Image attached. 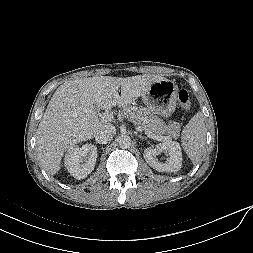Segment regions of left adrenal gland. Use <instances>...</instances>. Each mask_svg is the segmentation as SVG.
Returning <instances> with one entry per match:
<instances>
[{"label": "left adrenal gland", "mask_w": 253, "mask_h": 253, "mask_svg": "<svg viewBox=\"0 0 253 253\" xmlns=\"http://www.w3.org/2000/svg\"><path fill=\"white\" fill-rule=\"evenodd\" d=\"M138 137H139V138H142V139H146V137H143V136H141V135H138Z\"/></svg>", "instance_id": "left-adrenal-gland-1"}]
</instances>
